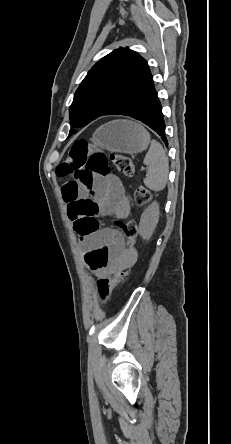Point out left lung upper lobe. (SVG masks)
<instances>
[{
  "label": "left lung upper lobe",
  "mask_w": 231,
  "mask_h": 444,
  "mask_svg": "<svg viewBox=\"0 0 231 444\" xmlns=\"http://www.w3.org/2000/svg\"><path fill=\"white\" fill-rule=\"evenodd\" d=\"M151 72L136 52L119 48L97 62L78 87L69 108L70 120L84 125L102 115L116 114ZM74 131H70L73 134Z\"/></svg>",
  "instance_id": "1"
}]
</instances>
